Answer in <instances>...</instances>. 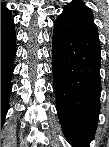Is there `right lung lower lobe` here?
<instances>
[{"instance_id":"98d812e1","label":"right lung lower lobe","mask_w":109,"mask_h":147,"mask_svg":"<svg viewBox=\"0 0 109 147\" xmlns=\"http://www.w3.org/2000/svg\"><path fill=\"white\" fill-rule=\"evenodd\" d=\"M15 28L11 17L1 22V126L8 111L11 91L10 78L14 69Z\"/></svg>"}]
</instances>
